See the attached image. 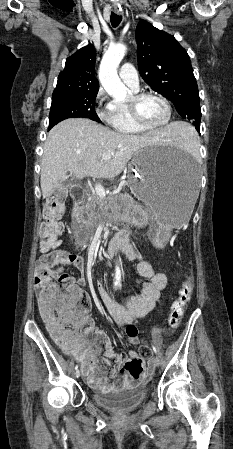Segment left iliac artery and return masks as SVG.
I'll list each match as a JSON object with an SVG mask.
<instances>
[{
	"instance_id": "obj_1",
	"label": "left iliac artery",
	"mask_w": 233,
	"mask_h": 449,
	"mask_svg": "<svg viewBox=\"0 0 233 449\" xmlns=\"http://www.w3.org/2000/svg\"><path fill=\"white\" fill-rule=\"evenodd\" d=\"M153 351L155 354H158V351H157L156 347H154V346H153Z\"/></svg>"
}]
</instances>
